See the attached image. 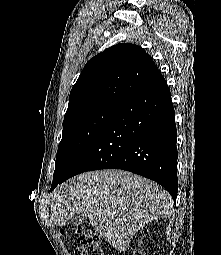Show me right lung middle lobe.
<instances>
[{"label": "right lung middle lobe", "mask_w": 221, "mask_h": 255, "mask_svg": "<svg viewBox=\"0 0 221 255\" xmlns=\"http://www.w3.org/2000/svg\"><path fill=\"white\" fill-rule=\"evenodd\" d=\"M119 107L104 104L69 115L63 121V135L56 156L52 186L78 161Z\"/></svg>", "instance_id": "obj_1"}]
</instances>
